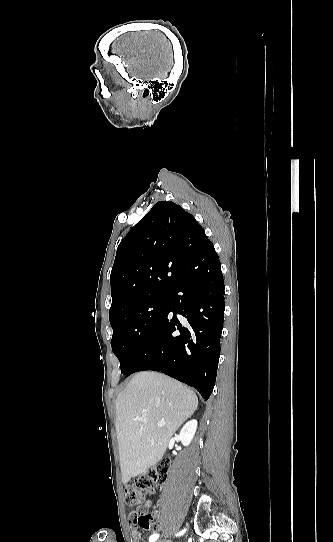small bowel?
<instances>
[{
    "label": "small bowel",
    "instance_id": "small-bowel-1",
    "mask_svg": "<svg viewBox=\"0 0 333 542\" xmlns=\"http://www.w3.org/2000/svg\"><path fill=\"white\" fill-rule=\"evenodd\" d=\"M143 504H144V506H145L146 508H149V507H151V505H152V500H151V499H146L145 502H144ZM140 526H141V528H143V529L147 532V531L149 530V528H150V523H149V522H143V523H141ZM155 530H156L157 532L160 531V530H161V526H155Z\"/></svg>",
    "mask_w": 333,
    "mask_h": 542
}]
</instances>
